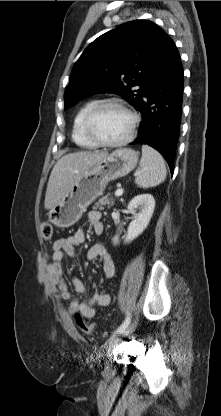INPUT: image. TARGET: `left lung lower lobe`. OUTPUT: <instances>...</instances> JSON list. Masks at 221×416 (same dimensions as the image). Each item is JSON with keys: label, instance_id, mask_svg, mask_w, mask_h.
<instances>
[{"label": "left lung lower lobe", "instance_id": "obj_1", "mask_svg": "<svg viewBox=\"0 0 221 416\" xmlns=\"http://www.w3.org/2000/svg\"><path fill=\"white\" fill-rule=\"evenodd\" d=\"M183 67L173 40L167 35L150 74L142 102L138 137L130 144H148L167 161L171 173L180 130Z\"/></svg>", "mask_w": 221, "mask_h": 416}]
</instances>
